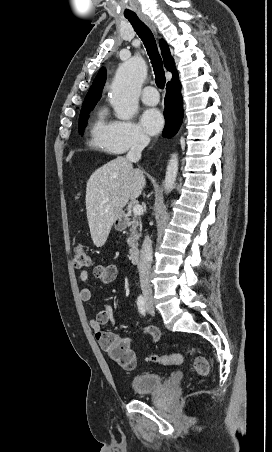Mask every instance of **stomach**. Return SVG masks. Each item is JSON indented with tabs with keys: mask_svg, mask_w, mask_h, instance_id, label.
<instances>
[{
	"mask_svg": "<svg viewBox=\"0 0 272 452\" xmlns=\"http://www.w3.org/2000/svg\"><path fill=\"white\" fill-rule=\"evenodd\" d=\"M115 228L117 229H122L125 226V218H124V214L120 213L117 218L115 219Z\"/></svg>",
	"mask_w": 272,
	"mask_h": 452,
	"instance_id": "1",
	"label": "stomach"
}]
</instances>
